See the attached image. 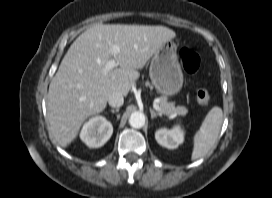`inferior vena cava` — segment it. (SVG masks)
<instances>
[{"label": "inferior vena cava", "instance_id": "602c4592", "mask_svg": "<svg viewBox=\"0 0 272 198\" xmlns=\"http://www.w3.org/2000/svg\"><path fill=\"white\" fill-rule=\"evenodd\" d=\"M108 103L113 108H119L124 103V97L121 93H113L109 96Z\"/></svg>", "mask_w": 272, "mask_h": 198}]
</instances>
